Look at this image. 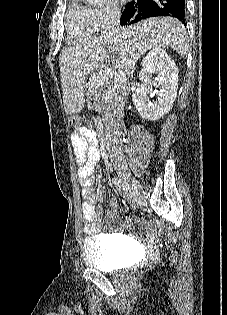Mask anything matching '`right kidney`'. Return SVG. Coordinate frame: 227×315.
<instances>
[{"label": "right kidney", "instance_id": "right-kidney-1", "mask_svg": "<svg viewBox=\"0 0 227 315\" xmlns=\"http://www.w3.org/2000/svg\"><path fill=\"white\" fill-rule=\"evenodd\" d=\"M153 74H157L156 82L152 80ZM140 79L142 84L132 95L133 103L141 117L156 121L173 107L178 89V68L164 49L156 47L143 58ZM152 85L159 90L152 91Z\"/></svg>", "mask_w": 227, "mask_h": 315}]
</instances>
